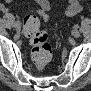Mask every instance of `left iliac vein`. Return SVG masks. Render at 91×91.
<instances>
[{"instance_id": "4c4485c4", "label": "left iliac vein", "mask_w": 91, "mask_h": 91, "mask_svg": "<svg viewBox=\"0 0 91 91\" xmlns=\"http://www.w3.org/2000/svg\"><path fill=\"white\" fill-rule=\"evenodd\" d=\"M73 36L76 37V38L79 37L80 36V32L78 30H74L73 31Z\"/></svg>"}]
</instances>
